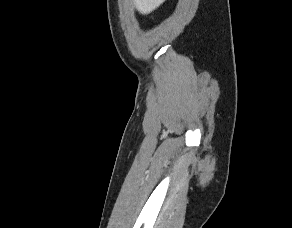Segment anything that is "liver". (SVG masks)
<instances>
[{
  "mask_svg": "<svg viewBox=\"0 0 292 228\" xmlns=\"http://www.w3.org/2000/svg\"><path fill=\"white\" fill-rule=\"evenodd\" d=\"M136 9L141 14H148L159 7L165 0H133Z\"/></svg>",
  "mask_w": 292,
  "mask_h": 228,
  "instance_id": "6515ba94",
  "label": "liver"
}]
</instances>
